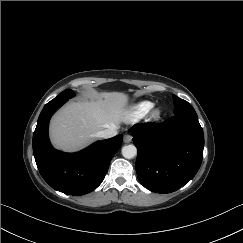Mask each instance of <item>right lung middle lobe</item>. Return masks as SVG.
Returning a JSON list of instances; mask_svg holds the SVG:
<instances>
[{
  "label": "right lung middle lobe",
  "instance_id": "obj_1",
  "mask_svg": "<svg viewBox=\"0 0 243 243\" xmlns=\"http://www.w3.org/2000/svg\"><path fill=\"white\" fill-rule=\"evenodd\" d=\"M74 96V92L70 89L63 91L60 93L56 98H54L51 101H57V100H64L67 101L69 98H72Z\"/></svg>",
  "mask_w": 243,
  "mask_h": 243
}]
</instances>
